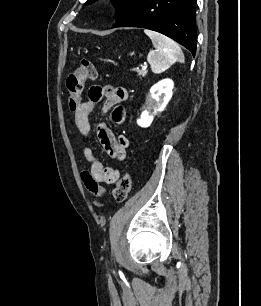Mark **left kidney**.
I'll use <instances>...</instances> for the list:
<instances>
[{
    "label": "left kidney",
    "mask_w": 261,
    "mask_h": 306,
    "mask_svg": "<svg viewBox=\"0 0 261 306\" xmlns=\"http://www.w3.org/2000/svg\"><path fill=\"white\" fill-rule=\"evenodd\" d=\"M174 83L171 79H164L153 85L150 95L146 100V108L141 113L137 124L141 127H149L154 117L162 112L172 97Z\"/></svg>",
    "instance_id": "1"
}]
</instances>
